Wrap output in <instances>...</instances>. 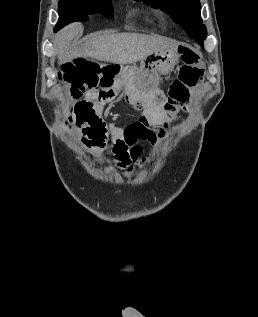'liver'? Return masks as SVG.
I'll use <instances>...</instances> for the list:
<instances>
[{
    "label": "liver",
    "mask_w": 258,
    "mask_h": 317,
    "mask_svg": "<svg viewBox=\"0 0 258 317\" xmlns=\"http://www.w3.org/2000/svg\"><path fill=\"white\" fill-rule=\"evenodd\" d=\"M83 30L82 22H71L55 36L54 44L58 50L59 64L77 56L117 62V64H131L156 50H171L177 46L174 40L164 36H150L139 32H113V34L108 32V34L92 36L81 46L71 48L70 42L81 36Z\"/></svg>",
    "instance_id": "liver-1"
}]
</instances>
